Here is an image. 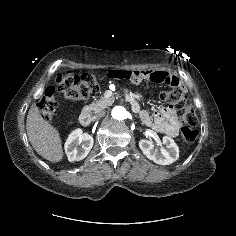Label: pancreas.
I'll use <instances>...</instances> for the list:
<instances>
[{
	"instance_id": "pancreas-1",
	"label": "pancreas",
	"mask_w": 236,
	"mask_h": 236,
	"mask_svg": "<svg viewBox=\"0 0 236 236\" xmlns=\"http://www.w3.org/2000/svg\"><path fill=\"white\" fill-rule=\"evenodd\" d=\"M112 103V99H106L105 97H101L99 100L92 102L91 104L84 107V110L88 112L97 113L106 107H108Z\"/></svg>"
}]
</instances>
